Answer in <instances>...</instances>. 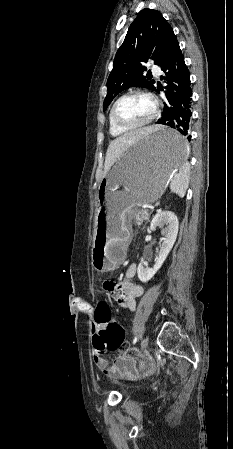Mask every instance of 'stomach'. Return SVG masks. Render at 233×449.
Wrapping results in <instances>:
<instances>
[{"mask_svg":"<svg viewBox=\"0 0 233 449\" xmlns=\"http://www.w3.org/2000/svg\"><path fill=\"white\" fill-rule=\"evenodd\" d=\"M189 146L177 128L156 131L135 142L107 173L99 190L92 264L98 272L118 268L125 257L132 211L164 193L174 172L185 163Z\"/></svg>","mask_w":233,"mask_h":449,"instance_id":"obj_1","label":"stomach"}]
</instances>
